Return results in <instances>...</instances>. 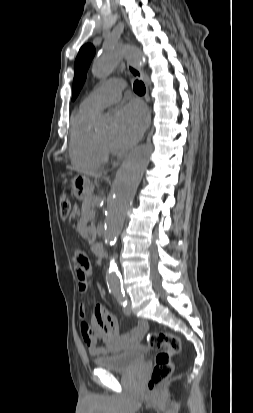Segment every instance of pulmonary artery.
<instances>
[{
  "label": "pulmonary artery",
  "instance_id": "e3ab8cb5",
  "mask_svg": "<svg viewBox=\"0 0 253 413\" xmlns=\"http://www.w3.org/2000/svg\"><path fill=\"white\" fill-rule=\"evenodd\" d=\"M122 87V83L118 80L108 81L90 93L82 102V106L99 112L121 98Z\"/></svg>",
  "mask_w": 253,
  "mask_h": 413
}]
</instances>
